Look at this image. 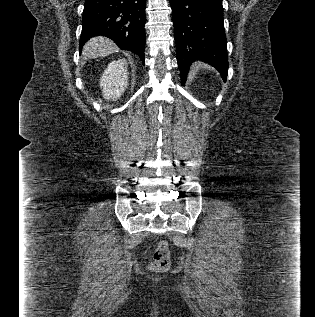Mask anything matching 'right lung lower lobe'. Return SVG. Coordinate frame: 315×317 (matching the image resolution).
<instances>
[{
    "label": "right lung lower lobe",
    "mask_w": 315,
    "mask_h": 317,
    "mask_svg": "<svg viewBox=\"0 0 315 317\" xmlns=\"http://www.w3.org/2000/svg\"><path fill=\"white\" fill-rule=\"evenodd\" d=\"M145 6L146 0H86L80 48L91 37L106 36L145 64Z\"/></svg>",
    "instance_id": "right-lung-lower-lobe-1"
}]
</instances>
